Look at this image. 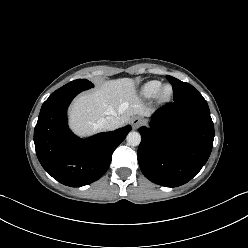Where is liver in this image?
<instances>
[{"instance_id": "liver-1", "label": "liver", "mask_w": 248, "mask_h": 248, "mask_svg": "<svg viewBox=\"0 0 248 248\" xmlns=\"http://www.w3.org/2000/svg\"><path fill=\"white\" fill-rule=\"evenodd\" d=\"M133 115L148 116L150 111L138 99L131 78L104 82L94 91L78 96L69 111L70 126L80 136L101 130L97 126L101 118L113 116L119 126H124Z\"/></svg>"}]
</instances>
